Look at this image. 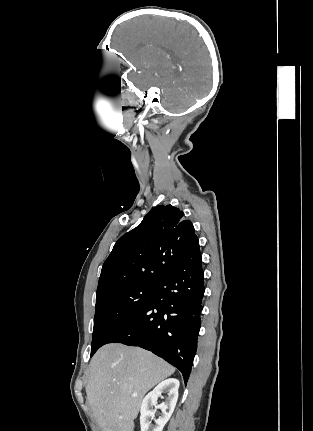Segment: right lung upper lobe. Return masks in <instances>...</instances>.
Wrapping results in <instances>:
<instances>
[{"label":"right lung upper lobe","instance_id":"obj_1","mask_svg":"<svg viewBox=\"0 0 313 431\" xmlns=\"http://www.w3.org/2000/svg\"><path fill=\"white\" fill-rule=\"evenodd\" d=\"M183 216L172 205H158L123 235L103 264L96 300L129 287L158 285L197 239L193 224Z\"/></svg>","mask_w":313,"mask_h":431}]
</instances>
